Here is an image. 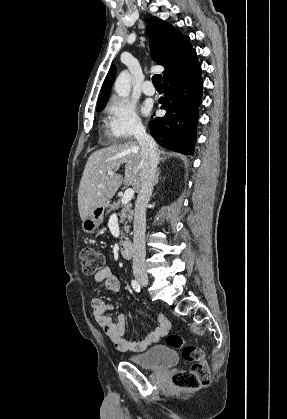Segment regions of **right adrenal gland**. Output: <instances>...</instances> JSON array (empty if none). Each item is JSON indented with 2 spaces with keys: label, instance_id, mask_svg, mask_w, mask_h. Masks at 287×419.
Here are the masks:
<instances>
[{
  "label": "right adrenal gland",
  "instance_id": "right-adrenal-gland-1",
  "mask_svg": "<svg viewBox=\"0 0 287 419\" xmlns=\"http://www.w3.org/2000/svg\"><path fill=\"white\" fill-rule=\"evenodd\" d=\"M159 175H160V172L158 171L155 177V182H154L155 185L158 184L159 182Z\"/></svg>",
  "mask_w": 287,
  "mask_h": 419
}]
</instances>
